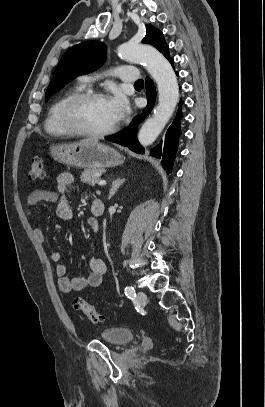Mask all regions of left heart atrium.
<instances>
[{"label":"left heart atrium","mask_w":265,"mask_h":407,"mask_svg":"<svg viewBox=\"0 0 265 407\" xmlns=\"http://www.w3.org/2000/svg\"><path fill=\"white\" fill-rule=\"evenodd\" d=\"M109 109L115 122L123 120L129 113L130 107L127 99L120 93L107 99Z\"/></svg>","instance_id":"left-heart-atrium-1"}]
</instances>
